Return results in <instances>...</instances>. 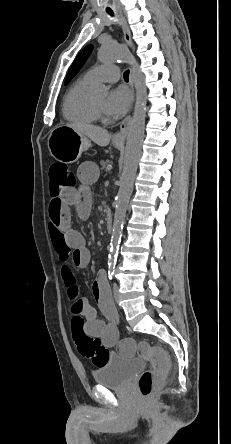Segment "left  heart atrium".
<instances>
[{"label": "left heart atrium", "mask_w": 231, "mask_h": 444, "mask_svg": "<svg viewBox=\"0 0 231 444\" xmlns=\"http://www.w3.org/2000/svg\"><path fill=\"white\" fill-rule=\"evenodd\" d=\"M130 103V91L123 86H119L110 91L105 102L104 111L113 118H119L127 112Z\"/></svg>", "instance_id": "1"}]
</instances>
